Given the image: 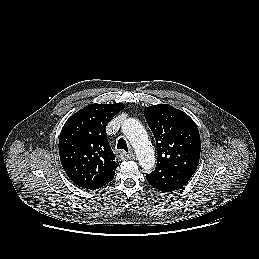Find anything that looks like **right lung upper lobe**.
<instances>
[{"instance_id":"right-lung-upper-lobe-1","label":"right lung upper lobe","mask_w":259,"mask_h":259,"mask_svg":"<svg viewBox=\"0 0 259 259\" xmlns=\"http://www.w3.org/2000/svg\"><path fill=\"white\" fill-rule=\"evenodd\" d=\"M124 104H91L73 114L59 136V155L67 176L92 189L114 176L118 166L106 126Z\"/></svg>"}]
</instances>
